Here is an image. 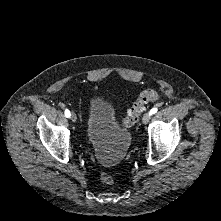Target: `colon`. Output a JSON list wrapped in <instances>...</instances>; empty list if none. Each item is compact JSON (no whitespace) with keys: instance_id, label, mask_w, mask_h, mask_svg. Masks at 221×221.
I'll return each instance as SVG.
<instances>
[{"instance_id":"1","label":"colon","mask_w":221,"mask_h":221,"mask_svg":"<svg viewBox=\"0 0 221 221\" xmlns=\"http://www.w3.org/2000/svg\"><path fill=\"white\" fill-rule=\"evenodd\" d=\"M158 99L159 94L154 88L141 89L136 102L128 109L126 115L122 119V124L126 127L134 125L146 110L147 104L150 102H155ZM100 179L107 185L114 183V178L106 172L101 173Z\"/></svg>"}]
</instances>
